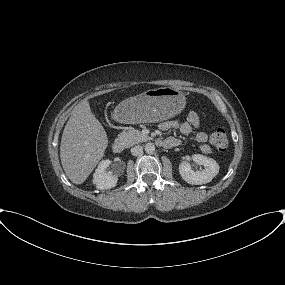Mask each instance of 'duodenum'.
<instances>
[{"label": "duodenum", "instance_id": "1", "mask_svg": "<svg viewBox=\"0 0 285 285\" xmlns=\"http://www.w3.org/2000/svg\"><path fill=\"white\" fill-rule=\"evenodd\" d=\"M113 151L115 153H121L124 150V140L117 138L112 145Z\"/></svg>", "mask_w": 285, "mask_h": 285}]
</instances>
